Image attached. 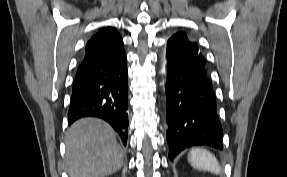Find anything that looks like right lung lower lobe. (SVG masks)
Segmentation results:
<instances>
[{
    "label": "right lung lower lobe",
    "instance_id": "obj_1",
    "mask_svg": "<svg viewBox=\"0 0 287 177\" xmlns=\"http://www.w3.org/2000/svg\"><path fill=\"white\" fill-rule=\"evenodd\" d=\"M128 78L123 41L113 29L99 30L85 47L72 87L68 122L98 117L119 133L128 130Z\"/></svg>",
    "mask_w": 287,
    "mask_h": 177
}]
</instances>
